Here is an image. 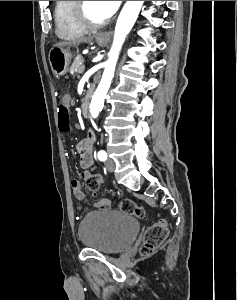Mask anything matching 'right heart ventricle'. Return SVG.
I'll list each match as a JSON object with an SVG mask.
<instances>
[{
  "instance_id": "e07e8e85",
  "label": "right heart ventricle",
  "mask_w": 237,
  "mask_h": 300,
  "mask_svg": "<svg viewBox=\"0 0 237 300\" xmlns=\"http://www.w3.org/2000/svg\"><path fill=\"white\" fill-rule=\"evenodd\" d=\"M74 1H55L54 19L56 33L61 38H72L86 34L87 29L77 23L73 14Z\"/></svg>"
}]
</instances>
